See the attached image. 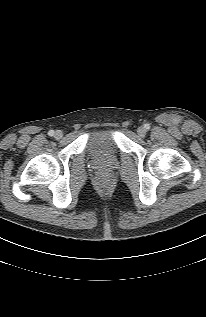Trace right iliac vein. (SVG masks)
I'll list each match as a JSON object with an SVG mask.
<instances>
[{
  "label": "right iliac vein",
  "instance_id": "obj_1",
  "mask_svg": "<svg viewBox=\"0 0 206 317\" xmlns=\"http://www.w3.org/2000/svg\"><path fill=\"white\" fill-rule=\"evenodd\" d=\"M54 137L58 140L61 139L63 137V132L61 130H57L54 134Z\"/></svg>",
  "mask_w": 206,
  "mask_h": 317
}]
</instances>
